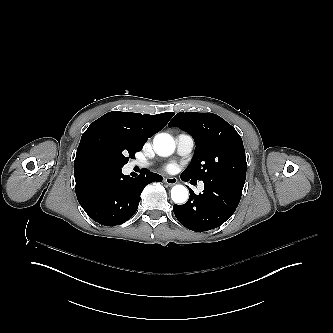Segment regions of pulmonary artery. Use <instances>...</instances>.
I'll list each match as a JSON object with an SVG mask.
<instances>
[{
    "instance_id": "pulmonary-artery-1",
    "label": "pulmonary artery",
    "mask_w": 333,
    "mask_h": 333,
    "mask_svg": "<svg viewBox=\"0 0 333 333\" xmlns=\"http://www.w3.org/2000/svg\"><path fill=\"white\" fill-rule=\"evenodd\" d=\"M176 151L179 156H189L194 148V139L190 134L181 133L176 137ZM144 166V165H141ZM199 188H203V182H200Z\"/></svg>"
}]
</instances>
